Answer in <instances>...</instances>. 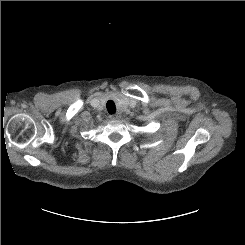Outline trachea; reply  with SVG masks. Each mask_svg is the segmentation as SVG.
<instances>
[{
    "label": "trachea",
    "instance_id": "trachea-1",
    "mask_svg": "<svg viewBox=\"0 0 245 245\" xmlns=\"http://www.w3.org/2000/svg\"><path fill=\"white\" fill-rule=\"evenodd\" d=\"M106 107H107V110L110 114H113L115 112V109H116L115 103L112 100L107 102Z\"/></svg>",
    "mask_w": 245,
    "mask_h": 245
}]
</instances>
